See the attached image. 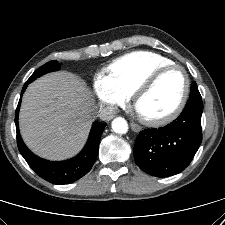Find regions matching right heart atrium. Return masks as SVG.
Wrapping results in <instances>:
<instances>
[{
    "label": "right heart atrium",
    "instance_id": "1",
    "mask_svg": "<svg viewBox=\"0 0 225 225\" xmlns=\"http://www.w3.org/2000/svg\"><path fill=\"white\" fill-rule=\"evenodd\" d=\"M93 89L98 100L113 109L126 105L129 96L118 89L107 75L96 74Z\"/></svg>",
    "mask_w": 225,
    "mask_h": 225
}]
</instances>
